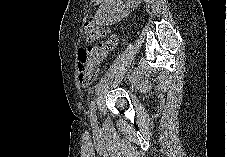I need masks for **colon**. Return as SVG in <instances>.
I'll list each match as a JSON object with an SVG mask.
<instances>
[{"label":"colon","mask_w":227,"mask_h":157,"mask_svg":"<svg viewBox=\"0 0 227 157\" xmlns=\"http://www.w3.org/2000/svg\"><path fill=\"white\" fill-rule=\"evenodd\" d=\"M107 30L93 21L85 26V34L88 42L100 40ZM118 45V40L112 37L108 41H101L93 46L81 48L78 52V78L82 86L90 85L95 77L99 65L104 62L109 54Z\"/></svg>","instance_id":"5ec220e1"}]
</instances>
